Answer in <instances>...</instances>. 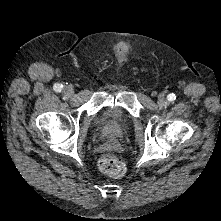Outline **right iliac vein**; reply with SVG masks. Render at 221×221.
I'll return each mask as SVG.
<instances>
[{
  "instance_id": "63e3f726",
  "label": "right iliac vein",
  "mask_w": 221,
  "mask_h": 221,
  "mask_svg": "<svg viewBox=\"0 0 221 221\" xmlns=\"http://www.w3.org/2000/svg\"><path fill=\"white\" fill-rule=\"evenodd\" d=\"M63 93L65 94V96L70 97V96L73 95L74 92H73V89L71 87L67 86L63 89Z\"/></svg>"
}]
</instances>
